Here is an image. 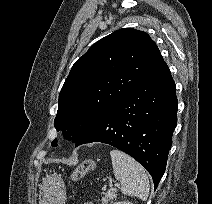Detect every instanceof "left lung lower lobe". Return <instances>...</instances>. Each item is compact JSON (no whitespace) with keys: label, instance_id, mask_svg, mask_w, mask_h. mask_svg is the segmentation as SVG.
<instances>
[{"label":"left lung lower lobe","instance_id":"left-lung-lower-lobe-1","mask_svg":"<svg viewBox=\"0 0 212 204\" xmlns=\"http://www.w3.org/2000/svg\"><path fill=\"white\" fill-rule=\"evenodd\" d=\"M177 107L175 83L163 62L110 108L75 146L102 142L124 151L147 169L156 189L172 145Z\"/></svg>","mask_w":212,"mask_h":204}]
</instances>
